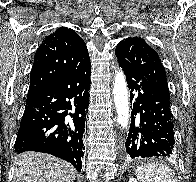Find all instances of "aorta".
I'll return each instance as SVG.
<instances>
[{
	"instance_id": "obj_1",
	"label": "aorta",
	"mask_w": 196,
	"mask_h": 182,
	"mask_svg": "<svg viewBox=\"0 0 196 182\" xmlns=\"http://www.w3.org/2000/svg\"><path fill=\"white\" fill-rule=\"evenodd\" d=\"M113 95L117 111V122L125 129L129 122V98L127 83L122 71L115 72Z\"/></svg>"
}]
</instances>
